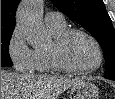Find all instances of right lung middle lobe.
<instances>
[{
    "label": "right lung middle lobe",
    "mask_w": 115,
    "mask_h": 99,
    "mask_svg": "<svg viewBox=\"0 0 115 99\" xmlns=\"http://www.w3.org/2000/svg\"><path fill=\"white\" fill-rule=\"evenodd\" d=\"M13 30H1V67L13 66L9 55V43Z\"/></svg>",
    "instance_id": "1"
}]
</instances>
